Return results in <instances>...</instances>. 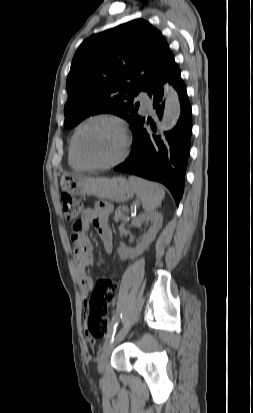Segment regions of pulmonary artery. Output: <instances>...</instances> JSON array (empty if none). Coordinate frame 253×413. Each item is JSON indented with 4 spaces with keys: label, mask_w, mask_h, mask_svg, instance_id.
Returning <instances> with one entry per match:
<instances>
[{
    "label": "pulmonary artery",
    "mask_w": 253,
    "mask_h": 413,
    "mask_svg": "<svg viewBox=\"0 0 253 413\" xmlns=\"http://www.w3.org/2000/svg\"><path fill=\"white\" fill-rule=\"evenodd\" d=\"M137 100L140 102L142 110L150 109L152 106L151 99L146 92H141L137 96Z\"/></svg>",
    "instance_id": "1"
}]
</instances>
